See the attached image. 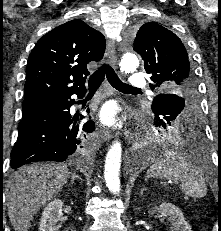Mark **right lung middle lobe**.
Listing matches in <instances>:
<instances>
[{
  "label": "right lung middle lobe",
  "mask_w": 221,
  "mask_h": 231,
  "mask_svg": "<svg viewBox=\"0 0 221 231\" xmlns=\"http://www.w3.org/2000/svg\"><path fill=\"white\" fill-rule=\"evenodd\" d=\"M27 102H23V105L26 104Z\"/></svg>",
  "instance_id": "dd1d6c3e"
}]
</instances>
